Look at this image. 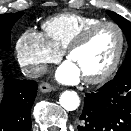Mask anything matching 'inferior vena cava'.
I'll return each instance as SVG.
<instances>
[{
    "mask_svg": "<svg viewBox=\"0 0 131 131\" xmlns=\"http://www.w3.org/2000/svg\"><path fill=\"white\" fill-rule=\"evenodd\" d=\"M46 72L45 66H26L22 69V73L29 78H37Z\"/></svg>",
    "mask_w": 131,
    "mask_h": 131,
    "instance_id": "1",
    "label": "inferior vena cava"
}]
</instances>
